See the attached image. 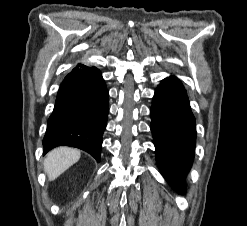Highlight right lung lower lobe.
I'll return each instance as SVG.
<instances>
[{
  "instance_id": "right-lung-lower-lobe-1",
  "label": "right lung lower lobe",
  "mask_w": 247,
  "mask_h": 226,
  "mask_svg": "<svg viewBox=\"0 0 247 226\" xmlns=\"http://www.w3.org/2000/svg\"><path fill=\"white\" fill-rule=\"evenodd\" d=\"M108 99L101 72L96 67L78 64L59 88L43 139L44 153L66 145L90 153L99 162Z\"/></svg>"
}]
</instances>
